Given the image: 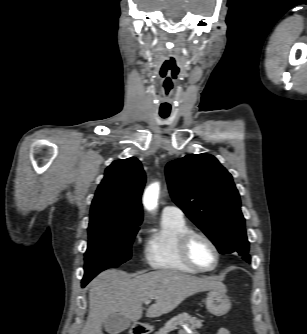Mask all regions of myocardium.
Here are the masks:
<instances>
[{
	"label": "myocardium",
	"instance_id": "myocardium-1",
	"mask_svg": "<svg viewBox=\"0 0 307 334\" xmlns=\"http://www.w3.org/2000/svg\"><path fill=\"white\" fill-rule=\"evenodd\" d=\"M195 238H201L203 240H205L213 249L216 259L214 264L209 267V268H203L200 267L192 258L191 256V251H190V247H191V243ZM178 248H179V253L180 256L182 258V260L191 268H193L194 270L198 271V272H211L213 270H215L219 263H220V259H221V253L219 250V247L217 246V244L215 243V241L208 236L207 234H205L204 232L201 231H197V230H193V229H189L188 231H186L185 233H183L179 239L178 242Z\"/></svg>",
	"mask_w": 307,
	"mask_h": 334
}]
</instances>
